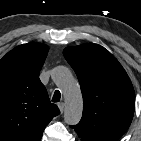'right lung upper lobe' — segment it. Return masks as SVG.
<instances>
[{
  "instance_id": "right-lung-upper-lobe-1",
  "label": "right lung upper lobe",
  "mask_w": 141,
  "mask_h": 141,
  "mask_svg": "<svg viewBox=\"0 0 141 141\" xmlns=\"http://www.w3.org/2000/svg\"><path fill=\"white\" fill-rule=\"evenodd\" d=\"M48 49L31 42L0 60V141H40L44 128L60 113L39 79Z\"/></svg>"
}]
</instances>
